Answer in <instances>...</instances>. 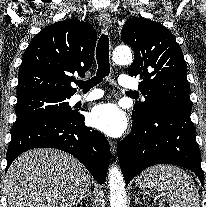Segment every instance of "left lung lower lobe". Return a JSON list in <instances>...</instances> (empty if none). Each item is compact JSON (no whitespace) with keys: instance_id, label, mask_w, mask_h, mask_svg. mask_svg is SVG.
<instances>
[{"instance_id":"0a47b994","label":"left lung lower lobe","mask_w":206,"mask_h":207,"mask_svg":"<svg viewBox=\"0 0 206 207\" xmlns=\"http://www.w3.org/2000/svg\"><path fill=\"white\" fill-rule=\"evenodd\" d=\"M191 109L156 104L145 119L134 118L132 132L118 144L125 183L156 164H174L193 171L204 186L201 156Z\"/></svg>"}]
</instances>
